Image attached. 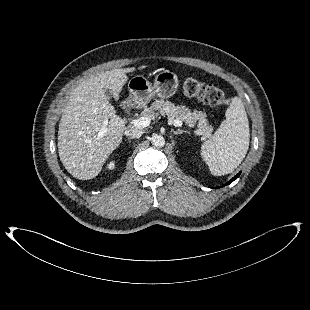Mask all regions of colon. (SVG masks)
Returning a JSON list of instances; mask_svg holds the SVG:
<instances>
[{
    "label": "colon",
    "instance_id": "obj_1",
    "mask_svg": "<svg viewBox=\"0 0 310 310\" xmlns=\"http://www.w3.org/2000/svg\"><path fill=\"white\" fill-rule=\"evenodd\" d=\"M184 93L189 97L214 106H225L230 102L229 97L218 87L202 83L194 78H188L183 84Z\"/></svg>",
    "mask_w": 310,
    "mask_h": 310
}]
</instances>
